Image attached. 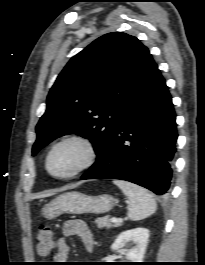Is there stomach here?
I'll return each instance as SVG.
<instances>
[{
    "label": "stomach",
    "mask_w": 205,
    "mask_h": 265,
    "mask_svg": "<svg viewBox=\"0 0 205 265\" xmlns=\"http://www.w3.org/2000/svg\"><path fill=\"white\" fill-rule=\"evenodd\" d=\"M117 202L110 195L90 196L80 192H66L49 202L43 208V216L52 220L64 213L84 214L106 213L112 209Z\"/></svg>",
    "instance_id": "1"
}]
</instances>
